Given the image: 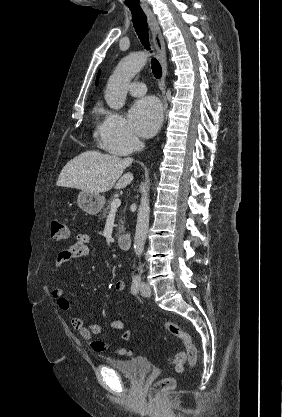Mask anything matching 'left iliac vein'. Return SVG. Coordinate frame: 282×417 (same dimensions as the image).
<instances>
[{
    "instance_id": "left-iliac-vein-1",
    "label": "left iliac vein",
    "mask_w": 282,
    "mask_h": 417,
    "mask_svg": "<svg viewBox=\"0 0 282 417\" xmlns=\"http://www.w3.org/2000/svg\"><path fill=\"white\" fill-rule=\"evenodd\" d=\"M151 292H152V290H151L150 286H148L146 284L142 285L141 293H142L143 296L149 297L151 295Z\"/></svg>"
}]
</instances>
